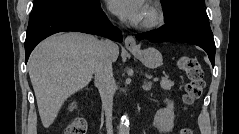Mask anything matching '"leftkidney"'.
<instances>
[{"label": "left kidney", "mask_w": 239, "mask_h": 134, "mask_svg": "<svg viewBox=\"0 0 239 134\" xmlns=\"http://www.w3.org/2000/svg\"><path fill=\"white\" fill-rule=\"evenodd\" d=\"M174 103L166 100V107L159 109L154 116V125L161 133L171 132L174 127Z\"/></svg>", "instance_id": "left-kidney-1"}]
</instances>
